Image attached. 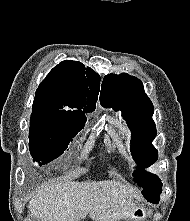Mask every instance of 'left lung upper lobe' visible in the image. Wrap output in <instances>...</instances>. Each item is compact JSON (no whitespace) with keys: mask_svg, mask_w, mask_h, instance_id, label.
Listing matches in <instances>:
<instances>
[{"mask_svg":"<svg viewBox=\"0 0 190 221\" xmlns=\"http://www.w3.org/2000/svg\"><path fill=\"white\" fill-rule=\"evenodd\" d=\"M100 101L103 107L121 110L132 133L131 154L140 167L134 173V181L143 188V196L150 202L159 201L162 183L158 176L145 172L153 164L158 152L152 141L156 127L152 120L154 107L143 89L142 82L128 74H109L101 86Z\"/></svg>","mask_w":190,"mask_h":221,"instance_id":"1","label":"left lung upper lobe"}]
</instances>
